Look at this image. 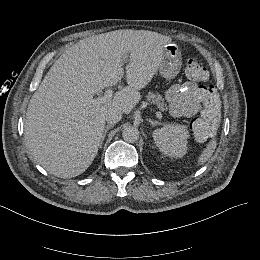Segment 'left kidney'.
Returning <instances> with one entry per match:
<instances>
[{"mask_svg":"<svg viewBox=\"0 0 260 260\" xmlns=\"http://www.w3.org/2000/svg\"><path fill=\"white\" fill-rule=\"evenodd\" d=\"M187 129L181 125H165L154 131L153 137L165 156L179 158L186 153Z\"/></svg>","mask_w":260,"mask_h":260,"instance_id":"1","label":"left kidney"}]
</instances>
